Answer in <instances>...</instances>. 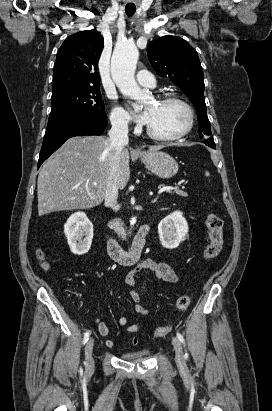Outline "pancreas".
I'll return each instance as SVG.
<instances>
[{
  "label": "pancreas",
  "mask_w": 272,
  "mask_h": 411,
  "mask_svg": "<svg viewBox=\"0 0 272 411\" xmlns=\"http://www.w3.org/2000/svg\"><path fill=\"white\" fill-rule=\"evenodd\" d=\"M169 193H175L182 197L188 196L187 192H184L182 190H175L174 192L169 191ZM109 227L113 229L118 235H121L123 233L122 223L120 222L119 219H115L112 222H110Z\"/></svg>",
  "instance_id": "cf45deb5"
}]
</instances>
